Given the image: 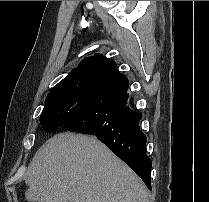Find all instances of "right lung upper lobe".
<instances>
[{"mask_svg":"<svg viewBox=\"0 0 209 202\" xmlns=\"http://www.w3.org/2000/svg\"><path fill=\"white\" fill-rule=\"evenodd\" d=\"M116 69V63L113 59L106 58L101 54H95L92 57H86L78 67L73 69L65 78L75 75L88 74L92 78L101 77Z\"/></svg>","mask_w":209,"mask_h":202,"instance_id":"cb5924a9","label":"right lung upper lobe"}]
</instances>
